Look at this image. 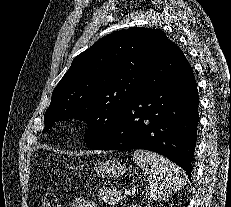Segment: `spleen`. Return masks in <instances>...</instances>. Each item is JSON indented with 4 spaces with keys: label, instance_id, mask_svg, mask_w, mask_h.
<instances>
[{
    "label": "spleen",
    "instance_id": "1",
    "mask_svg": "<svg viewBox=\"0 0 231 207\" xmlns=\"http://www.w3.org/2000/svg\"><path fill=\"white\" fill-rule=\"evenodd\" d=\"M133 160L140 166L148 185L145 187L148 200H161L186 183V173L164 157L146 150H135Z\"/></svg>",
    "mask_w": 231,
    "mask_h": 207
}]
</instances>
